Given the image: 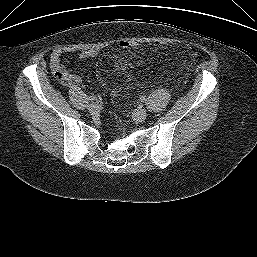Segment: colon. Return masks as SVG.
I'll return each instance as SVG.
<instances>
[{
  "label": "colon",
  "mask_w": 257,
  "mask_h": 257,
  "mask_svg": "<svg viewBox=\"0 0 257 257\" xmlns=\"http://www.w3.org/2000/svg\"><path fill=\"white\" fill-rule=\"evenodd\" d=\"M119 46L123 49H136L139 47V44L130 40H122ZM54 77L60 84H69V75L64 70H54Z\"/></svg>",
  "instance_id": "obj_1"
}]
</instances>
